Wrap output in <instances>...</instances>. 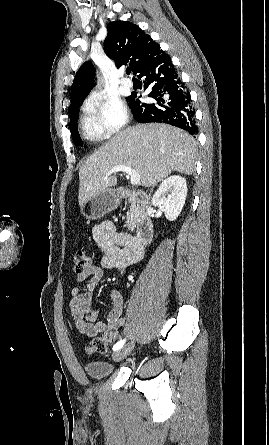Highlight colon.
<instances>
[{
    "label": "colon",
    "instance_id": "5ec220e1",
    "mask_svg": "<svg viewBox=\"0 0 269 445\" xmlns=\"http://www.w3.org/2000/svg\"><path fill=\"white\" fill-rule=\"evenodd\" d=\"M74 270L77 274L82 273L87 267L92 264L91 257L83 250H76L73 253ZM112 333L104 335L102 337H96L92 340L87 351L89 354L105 353L107 351V345L112 338Z\"/></svg>",
    "mask_w": 269,
    "mask_h": 445
}]
</instances>
